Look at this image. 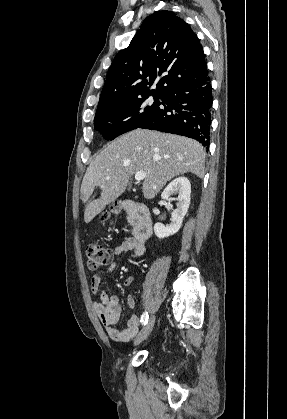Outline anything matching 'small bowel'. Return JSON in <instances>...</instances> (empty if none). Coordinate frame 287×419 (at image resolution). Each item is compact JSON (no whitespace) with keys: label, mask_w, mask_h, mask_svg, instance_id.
Masks as SVG:
<instances>
[{"label":"small bowel","mask_w":287,"mask_h":419,"mask_svg":"<svg viewBox=\"0 0 287 419\" xmlns=\"http://www.w3.org/2000/svg\"><path fill=\"white\" fill-rule=\"evenodd\" d=\"M137 248L138 243L133 237H128L119 243L113 251V262L91 277V291L94 294H97L100 290L102 279L112 273L121 255L128 251H135ZM133 281L134 278L129 276L124 280V285L130 286ZM135 303V298L133 296L130 295L127 297V305L129 308H134ZM94 309L107 334L113 340L128 342L138 333L140 318L137 315L129 317L125 328H116L115 325L119 321L122 313V307L116 295H110L108 292L102 291L100 293V302L94 303Z\"/></svg>","instance_id":"1"}]
</instances>
